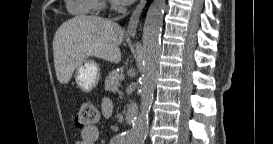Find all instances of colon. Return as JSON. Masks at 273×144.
<instances>
[{
  "mask_svg": "<svg viewBox=\"0 0 273 144\" xmlns=\"http://www.w3.org/2000/svg\"><path fill=\"white\" fill-rule=\"evenodd\" d=\"M98 120V110L95 104L91 101H83L80 104L77 116L76 126L80 129H84L92 126Z\"/></svg>",
  "mask_w": 273,
  "mask_h": 144,
  "instance_id": "5ec220e1",
  "label": "colon"
}]
</instances>
